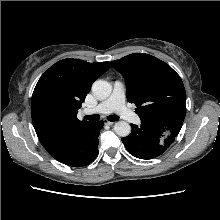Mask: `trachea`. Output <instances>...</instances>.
<instances>
[{
    "instance_id": "3493384b",
    "label": "trachea",
    "mask_w": 220,
    "mask_h": 220,
    "mask_svg": "<svg viewBox=\"0 0 220 220\" xmlns=\"http://www.w3.org/2000/svg\"><path fill=\"white\" fill-rule=\"evenodd\" d=\"M84 118L86 120H90V121H98L100 119V116L97 115V114H94V115L85 116ZM118 119H119V117L116 116V115H109L108 116V120L111 121V122H114Z\"/></svg>"
}]
</instances>
